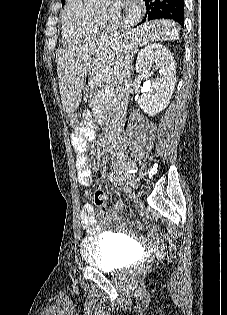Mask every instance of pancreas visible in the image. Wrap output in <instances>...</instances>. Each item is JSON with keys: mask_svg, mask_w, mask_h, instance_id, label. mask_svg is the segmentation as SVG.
I'll return each instance as SVG.
<instances>
[{"mask_svg": "<svg viewBox=\"0 0 227 315\" xmlns=\"http://www.w3.org/2000/svg\"><path fill=\"white\" fill-rule=\"evenodd\" d=\"M99 77L97 76H92L91 79H90V91H89V103L91 106H99L102 113L105 115L104 119L107 120L108 119V110L110 109V102H111V99H112V94L113 92L111 91L109 94H108V97L106 98H98L97 97V94L99 92L102 91V87H100L101 83H102V80L101 82H99L100 85H97L96 84V81Z\"/></svg>", "mask_w": 227, "mask_h": 315, "instance_id": "cf45deb5", "label": "pancreas"}]
</instances>
